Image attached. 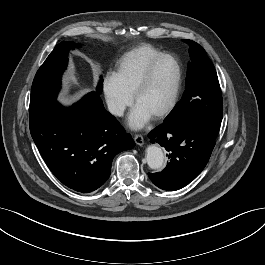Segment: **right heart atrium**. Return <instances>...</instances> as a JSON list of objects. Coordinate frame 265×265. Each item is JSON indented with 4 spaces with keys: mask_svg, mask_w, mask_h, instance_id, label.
Listing matches in <instances>:
<instances>
[{
    "mask_svg": "<svg viewBox=\"0 0 265 265\" xmlns=\"http://www.w3.org/2000/svg\"><path fill=\"white\" fill-rule=\"evenodd\" d=\"M102 90L109 112L115 117H121L132 102L131 96L124 92L112 74L104 77Z\"/></svg>",
    "mask_w": 265,
    "mask_h": 265,
    "instance_id": "obj_1",
    "label": "right heart atrium"
}]
</instances>
